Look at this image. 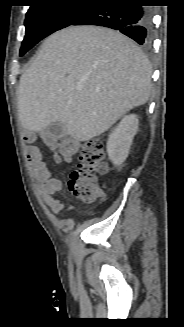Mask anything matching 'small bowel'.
Returning a JSON list of instances; mask_svg holds the SVG:
<instances>
[{
  "label": "small bowel",
  "mask_w": 184,
  "mask_h": 327,
  "mask_svg": "<svg viewBox=\"0 0 184 327\" xmlns=\"http://www.w3.org/2000/svg\"><path fill=\"white\" fill-rule=\"evenodd\" d=\"M37 137L41 138L46 145L55 151L54 158L56 161L64 160L69 162L78 148L76 142L69 140L59 142L56 137L45 132H40L38 135L30 132L25 133V139L28 142L35 141ZM26 157L30 163L33 173L41 181L42 193L46 204L49 206L53 213H61L64 208V202L63 200L54 196L62 189L61 180L57 177H54L50 170L46 167L38 147H28L26 150Z\"/></svg>",
  "instance_id": "obj_1"
}]
</instances>
